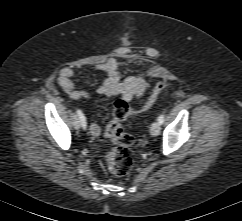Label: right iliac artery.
<instances>
[{
  "instance_id": "1",
  "label": "right iliac artery",
  "mask_w": 242,
  "mask_h": 221,
  "mask_svg": "<svg viewBox=\"0 0 242 221\" xmlns=\"http://www.w3.org/2000/svg\"><path fill=\"white\" fill-rule=\"evenodd\" d=\"M76 113H77V117L79 118L80 122H81V126L85 129L86 128V118L85 116L83 115L82 111L80 109H77L76 110Z\"/></svg>"
}]
</instances>
